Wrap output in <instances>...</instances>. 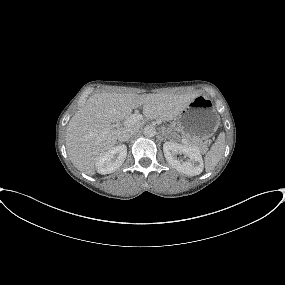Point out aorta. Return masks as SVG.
<instances>
[{
  "label": "aorta",
  "mask_w": 285,
  "mask_h": 285,
  "mask_svg": "<svg viewBox=\"0 0 285 285\" xmlns=\"http://www.w3.org/2000/svg\"><path fill=\"white\" fill-rule=\"evenodd\" d=\"M143 133L146 137H154L156 135V129L152 125L144 127Z\"/></svg>",
  "instance_id": "762f6f07"
}]
</instances>
